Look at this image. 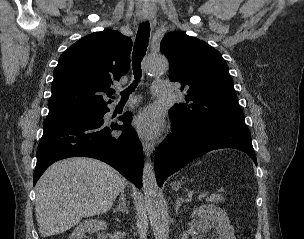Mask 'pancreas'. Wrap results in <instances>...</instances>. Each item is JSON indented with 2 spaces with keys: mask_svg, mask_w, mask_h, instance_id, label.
I'll return each mask as SVG.
<instances>
[{
  "mask_svg": "<svg viewBox=\"0 0 304 239\" xmlns=\"http://www.w3.org/2000/svg\"><path fill=\"white\" fill-rule=\"evenodd\" d=\"M208 201L219 203V202L224 201V199L220 195H212L210 198H208Z\"/></svg>",
  "mask_w": 304,
  "mask_h": 239,
  "instance_id": "cf45deb5",
  "label": "pancreas"
}]
</instances>
